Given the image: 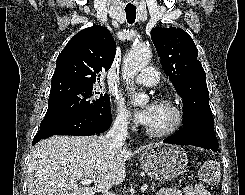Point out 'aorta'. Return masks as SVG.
<instances>
[{"label":"aorta","instance_id":"obj_1","mask_svg":"<svg viewBox=\"0 0 245 195\" xmlns=\"http://www.w3.org/2000/svg\"><path fill=\"white\" fill-rule=\"evenodd\" d=\"M152 57L149 47L145 45H135L127 54L123 62L122 75L127 85H130L131 79L145 66L148 65ZM128 89L132 95L134 106L145 105L149 101V97L145 93H135L134 88Z\"/></svg>","mask_w":245,"mask_h":195}]
</instances>
